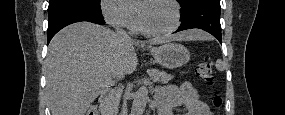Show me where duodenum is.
<instances>
[{"label": "duodenum", "mask_w": 285, "mask_h": 115, "mask_svg": "<svg viewBox=\"0 0 285 115\" xmlns=\"http://www.w3.org/2000/svg\"><path fill=\"white\" fill-rule=\"evenodd\" d=\"M99 109L101 115H112V109L110 106V92L104 90L99 96Z\"/></svg>", "instance_id": "1"}]
</instances>
